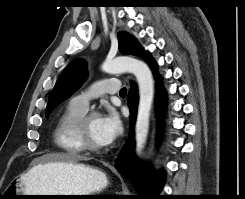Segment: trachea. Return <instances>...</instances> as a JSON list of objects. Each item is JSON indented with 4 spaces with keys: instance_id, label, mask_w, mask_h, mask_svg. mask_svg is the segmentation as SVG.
<instances>
[{
    "instance_id": "obj_1",
    "label": "trachea",
    "mask_w": 245,
    "mask_h": 199,
    "mask_svg": "<svg viewBox=\"0 0 245 199\" xmlns=\"http://www.w3.org/2000/svg\"><path fill=\"white\" fill-rule=\"evenodd\" d=\"M119 94H120L121 97H125L126 94H127V89H126V88H122V89L120 90Z\"/></svg>"
}]
</instances>
